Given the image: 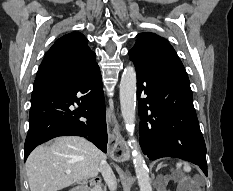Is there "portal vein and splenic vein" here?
<instances>
[{
  "mask_svg": "<svg viewBox=\"0 0 233 191\" xmlns=\"http://www.w3.org/2000/svg\"><path fill=\"white\" fill-rule=\"evenodd\" d=\"M70 173H71V171H69V170L66 171V174H70Z\"/></svg>",
  "mask_w": 233,
  "mask_h": 191,
  "instance_id": "portal-vein-and-splenic-vein-1",
  "label": "portal vein and splenic vein"
}]
</instances>
